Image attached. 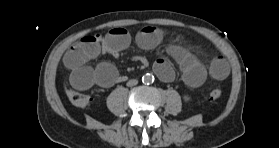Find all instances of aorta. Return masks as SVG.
Listing matches in <instances>:
<instances>
[{
  "instance_id": "762f6f07",
  "label": "aorta",
  "mask_w": 279,
  "mask_h": 148,
  "mask_svg": "<svg viewBox=\"0 0 279 148\" xmlns=\"http://www.w3.org/2000/svg\"><path fill=\"white\" fill-rule=\"evenodd\" d=\"M154 81V76L147 73L142 77V82L145 84H150L151 82Z\"/></svg>"
}]
</instances>
